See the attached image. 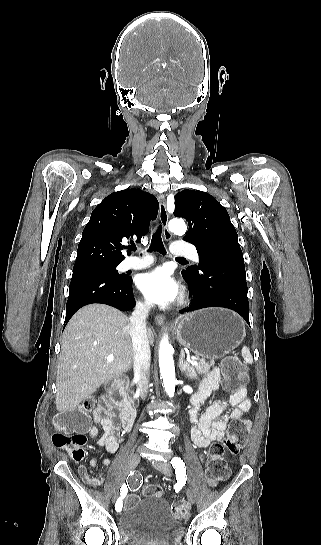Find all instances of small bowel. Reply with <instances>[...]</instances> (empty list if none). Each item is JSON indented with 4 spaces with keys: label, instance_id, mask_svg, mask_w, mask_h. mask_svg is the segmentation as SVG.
<instances>
[{
    "label": "small bowel",
    "instance_id": "obj_1",
    "mask_svg": "<svg viewBox=\"0 0 321 545\" xmlns=\"http://www.w3.org/2000/svg\"><path fill=\"white\" fill-rule=\"evenodd\" d=\"M220 382L219 369L215 368L202 381L198 391L192 397V408L190 410L191 439L199 448H207L212 442L221 440L227 424L231 420L239 419L243 413L251 408V401L246 392H233L229 399L212 404L198 417V407L213 391L218 389ZM230 406L233 408L228 411ZM116 418L117 411L108 402H103L93 415L94 423L101 428L102 434L98 437L99 430L97 426H92L88 430L89 437L93 439L98 437L97 445L104 447L108 453H115L118 450L122 436V429L116 423ZM90 464L92 467L102 465L107 468L110 466V460L107 458L101 461L92 459ZM84 468V466H81L79 470ZM93 478L99 484L103 480V474Z\"/></svg>",
    "mask_w": 321,
    "mask_h": 545
}]
</instances>
